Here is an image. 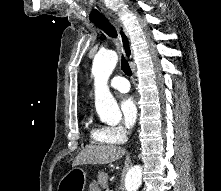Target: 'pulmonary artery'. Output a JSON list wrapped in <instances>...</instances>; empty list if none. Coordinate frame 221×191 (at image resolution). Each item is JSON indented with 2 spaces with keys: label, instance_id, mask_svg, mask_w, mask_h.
<instances>
[{
  "label": "pulmonary artery",
  "instance_id": "e3ab8cb5",
  "mask_svg": "<svg viewBox=\"0 0 221 191\" xmlns=\"http://www.w3.org/2000/svg\"><path fill=\"white\" fill-rule=\"evenodd\" d=\"M110 87L120 92H127L130 89L128 80L124 77H115L110 82Z\"/></svg>",
  "mask_w": 221,
  "mask_h": 191
}]
</instances>
